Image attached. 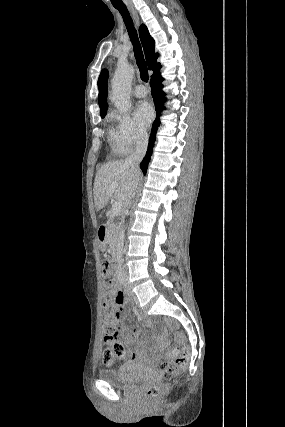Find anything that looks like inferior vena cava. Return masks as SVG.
<instances>
[{"instance_id": "inferior-vena-cava-1", "label": "inferior vena cava", "mask_w": 285, "mask_h": 427, "mask_svg": "<svg viewBox=\"0 0 285 427\" xmlns=\"http://www.w3.org/2000/svg\"><path fill=\"white\" fill-rule=\"evenodd\" d=\"M148 147V135L140 134L136 144V151L126 158L125 162L129 164L135 173L140 174L139 164L144 158ZM138 183L134 186L133 196L135 195Z\"/></svg>"}]
</instances>
